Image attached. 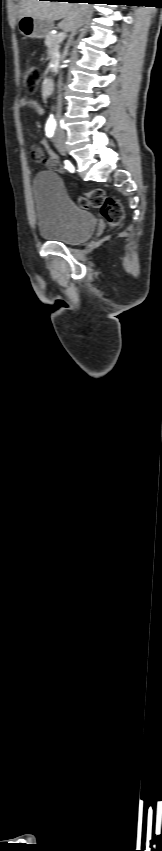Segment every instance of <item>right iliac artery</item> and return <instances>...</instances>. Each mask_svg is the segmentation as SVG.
I'll return each mask as SVG.
<instances>
[{
    "instance_id": "obj_1",
    "label": "right iliac artery",
    "mask_w": 162,
    "mask_h": 851,
    "mask_svg": "<svg viewBox=\"0 0 162 851\" xmlns=\"http://www.w3.org/2000/svg\"><path fill=\"white\" fill-rule=\"evenodd\" d=\"M54 130H55V125H54V124H50V123L46 124L45 131H46V135H47L48 137H52V136H53V134H54Z\"/></svg>"
}]
</instances>
